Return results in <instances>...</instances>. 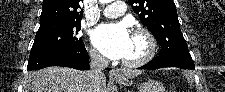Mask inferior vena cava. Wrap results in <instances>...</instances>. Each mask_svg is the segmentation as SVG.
Segmentation results:
<instances>
[{
    "mask_svg": "<svg viewBox=\"0 0 225 92\" xmlns=\"http://www.w3.org/2000/svg\"><path fill=\"white\" fill-rule=\"evenodd\" d=\"M90 71L89 76L91 83H97L99 80V76L102 75L103 69L108 67V60L97 53L96 51H90Z\"/></svg>",
    "mask_w": 225,
    "mask_h": 92,
    "instance_id": "602c4592",
    "label": "inferior vena cava"
}]
</instances>
